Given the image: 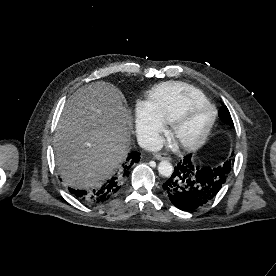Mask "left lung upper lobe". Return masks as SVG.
<instances>
[{
	"label": "left lung upper lobe",
	"instance_id": "5c2ea615",
	"mask_svg": "<svg viewBox=\"0 0 276 276\" xmlns=\"http://www.w3.org/2000/svg\"><path fill=\"white\" fill-rule=\"evenodd\" d=\"M219 117L222 119V121L230 126L233 125V121L231 119L230 113L227 109V107H225L224 105L222 106V108H220L219 110ZM222 167H226L228 169V175L230 173L231 170V161L228 160L226 162H224V164H222L219 167H216L218 170Z\"/></svg>",
	"mask_w": 276,
	"mask_h": 276
}]
</instances>
